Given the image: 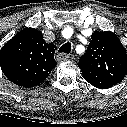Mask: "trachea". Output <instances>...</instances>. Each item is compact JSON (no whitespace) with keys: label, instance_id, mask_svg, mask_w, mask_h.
Segmentation results:
<instances>
[{"label":"trachea","instance_id":"trachea-1","mask_svg":"<svg viewBox=\"0 0 127 127\" xmlns=\"http://www.w3.org/2000/svg\"><path fill=\"white\" fill-rule=\"evenodd\" d=\"M71 44L68 42V43H65L64 45H62L60 48H59V52H63V53H66V54H69L71 52Z\"/></svg>","mask_w":127,"mask_h":127}]
</instances>
